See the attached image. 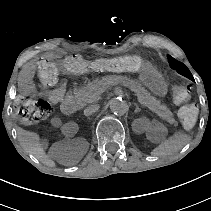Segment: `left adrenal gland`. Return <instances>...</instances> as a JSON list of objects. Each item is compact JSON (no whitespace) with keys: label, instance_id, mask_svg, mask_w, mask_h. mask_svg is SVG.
<instances>
[{"label":"left adrenal gland","instance_id":"left-adrenal-gland-1","mask_svg":"<svg viewBox=\"0 0 211 211\" xmlns=\"http://www.w3.org/2000/svg\"><path fill=\"white\" fill-rule=\"evenodd\" d=\"M135 105V113H139L141 111V109L139 108L138 104L134 103Z\"/></svg>","mask_w":211,"mask_h":211}]
</instances>
